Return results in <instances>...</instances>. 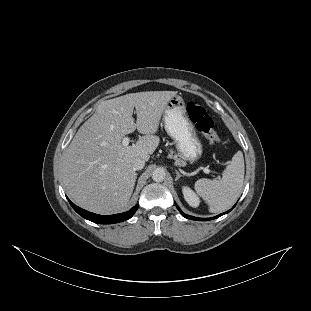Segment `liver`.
Here are the masks:
<instances>
[{
    "label": "liver",
    "instance_id": "1",
    "mask_svg": "<svg viewBox=\"0 0 311 311\" xmlns=\"http://www.w3.org/2000/svg\"><path fill=\"white\" fill-rule=\"evenodd\" d=\"M175 95L177 91L128 93L97 106L62 160L63 184L78 206L98 214L115 213L127 206L137 179L132 162L137 157L148 161L158 147L160 119ZM135 130L142 136L134 145L124 147L122 139Z\"/></svg>",
    "mask_w": 311,
    "mask_h": 311
}]
</instances>
